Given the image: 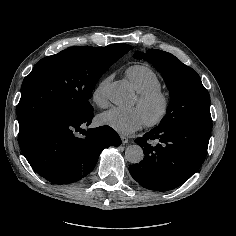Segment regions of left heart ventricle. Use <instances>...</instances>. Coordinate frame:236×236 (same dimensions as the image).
<instances>
[{
  "label": "left heart ventricle",
  "mask_w": 236,
  "mask_h": 236,
  "mask_svg": "<svg viewBox=\"0 0 236 236\" xmlns=\"http://www.w3.org/2000/svg\"><path fill=\"white\" fill-rule=\"evenodd\" d=\"M137 103V100H136ZM138 106V104H137ZM138 109L141 111V113L143 114L145 120L147 121L150 117H153L154 115H156L158 108L157 107H151L149 109H144L140 106H138Z\"/></svg>",
  "instance_id": "left-heart-ventricle-1"
}]
</instances>
